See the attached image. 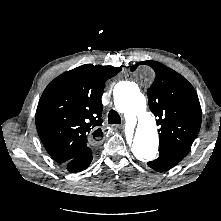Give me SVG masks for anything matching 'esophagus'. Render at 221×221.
Returning <instances> with one entry per match:
<instances>
[{
	"label": "esophagus",
	"mask_w": 221,
	"mask_h": 221,
	"mask_svg": "<svg viewBox=\"0 0 221 221\" xmlns=\"http://www.w3.org/2000/svg\"><path fill=\"white\" fill-rule=\"evenodd\" d=\"M115 127L118 128V129H123L124 125H116Z\"/></svg>",
	"instance_id": "34e87169"
}]
</instances>
